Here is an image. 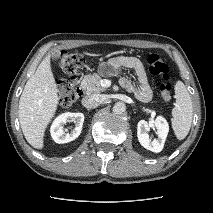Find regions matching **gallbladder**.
Here are the masks:
<instances>
[{"label": "gallbladder", "instance_id": "gallbladder-1", "mask_svg": "<svg viewBox=\"0 0 213 213\" xmlns=\"http://www.w3.org/2000/svg\"><path fill=\"white\" fill-rule=\"evenodd\" d=\"M60 57V53L59 52H53L52 53V60H57Z\"/></svg>", "mask_w": 213, "mask_h": 213}]
</instances>
